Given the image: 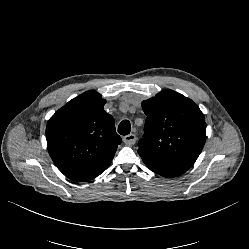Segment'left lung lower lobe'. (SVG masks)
Wrapping results in <instances>:
<instances>
[{"mask_svg":"<svg viewBox=\"0 0 249 249\" xmlns=\"http://www.w3.org/2000/svg\"><path fill=\"white\" fill-rule=\"evenodd\" d=\"M146 166L153 172L168 178L176 177L186 172L180 169L171 168L158 162L147 163Z\"/></svg>","mask_w":249,"mask_h":249,"instance_id":"obj_1","label":"left lung lower lobe"}]
</instances>
